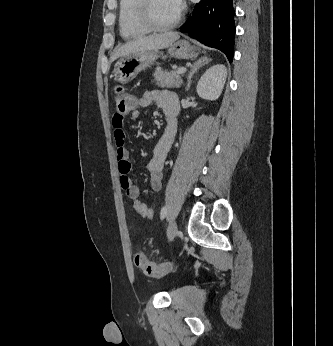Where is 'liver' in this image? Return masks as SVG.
<instances>
[{
    "mask_svg": "<svg viewBox=\"0 0 333 346\" xmlns=\"http://www.w3.org/2000/svg\"><path fill=\"white\" fill-rule=\"evenodd\" d=\"M179 37V34L176 32H167L163 34H154L130 41L115 49L113 60L140 51H150L167 48L176 40H178Z\"/></svg>",
    "mask_w": 333,
    "mask_h": 346,
    "instance_id": "6515ba94",
    "label": "liver"
}]
</instances>
